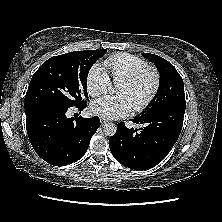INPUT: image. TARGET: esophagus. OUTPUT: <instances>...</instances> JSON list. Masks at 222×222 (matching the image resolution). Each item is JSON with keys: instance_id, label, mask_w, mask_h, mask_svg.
Masks as SVG:
<instances>
[{"instance_id": "34e87169", "label": "esophagus", "mask_w": 222, "mask_h": 222, "mask_svg": "<svg viewBox=\"0 0 222 222\" xmlns=\"http://www.w3.org/2000/svg\"><path fill=\"white\" fill-rule=\"evenodd\" d=\"M108 122L106 121V120H101V124L102 125H105V124H107Z\"/></svg>"}]
</instances>
